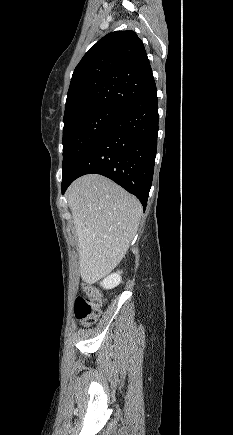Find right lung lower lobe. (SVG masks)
<instances>
[{
    "label": "right lung lower lobe",
    "instance_id": "98d812e1",
    "mask_svg": "<svg viewBox=\"0 0 233 435\" xmlns=\"http://www.w3.org/2000/svg\"><path fill=\"white\" fill-rule=\"evenodd\" d=\"M158 134L155 82L127 105L62 179V193L78 177L104 175L134 194L144 209L152 184Z\"/></svg>",
    "mask_w": 233,
    "mask_h": 435
}]
</instances>
